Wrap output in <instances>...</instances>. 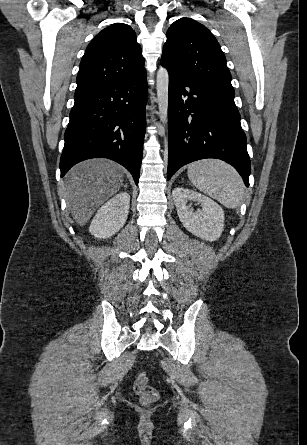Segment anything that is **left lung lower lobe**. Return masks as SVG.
Wrapping results in <instances>:
<instances>
[{
    "instance_id": "obj_1",
    "label": "left lung lower lobe",
    "mask_w": 307,
    "mask_h": 445,
    "mask_svg": "<svg viewBox=\"0 0 307 445\" xmlns=\"http://www.w3.org/2000/svg\"><path fill=\"white\" fill-rule=\"evenodd\" d=\"M169 73V156L167 178L183 165L217 158L234 166L249 186L246 136L234 98L204 90L177 70Z\"/></svg>"
}]
</instances>
